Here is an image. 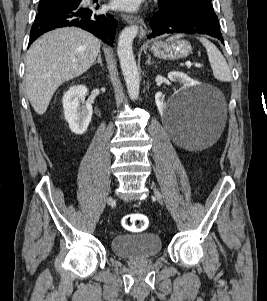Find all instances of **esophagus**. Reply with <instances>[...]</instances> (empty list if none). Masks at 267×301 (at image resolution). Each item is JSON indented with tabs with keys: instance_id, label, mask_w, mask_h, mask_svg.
<instances>
[{
	"instance_id": "34e87169",
	"label": "esophagus",
	"mask_w": 267,
	"mask_h": 301,
	"mask_svg": "<svg viewBox=\"0 0 267 301\" xmlns=\"http://www.w3.org/2000/svg\"><path fill=\"white\" fill-rule=\"evenodd\" d=\"M123 19L130 24H137L140 27L139 37L142 38L146 34V26L143 19L140 16L123 14Z\"/></svg>"
}]
</instances>
